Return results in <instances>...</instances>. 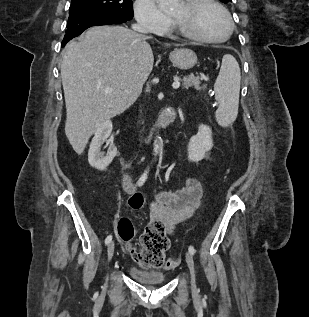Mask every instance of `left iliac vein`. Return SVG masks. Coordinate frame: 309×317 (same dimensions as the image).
<instances>
[{
    "label": "left iliac vein",
    "mask_w": 309,
    "mask_h": 317,
    "mask_svg": "<svg viewBox=\"0 0 309 317\" xmlns=\"http://www.w3.org/2000/svg\"><path fill=\"white\" fill-rule=\"evenodd\" d=\"M185 258H186V263L188 265V268L191 274V288L193 292H196L197 286H196V280H195V267H194L192 254L190 252H187L185 255Z\"/></svg>",
    "instance_id": "1"
}]
</instances>
